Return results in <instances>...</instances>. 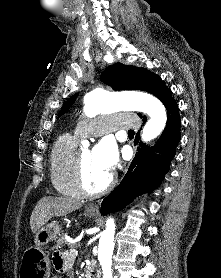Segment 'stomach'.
I'll return each mask as SVG.
<instances>
[{"label": "stomach", "instance_id": "1", "mask_svg": "<svg viewBox=\"0 0 221 278\" xmlns=\"http://www.w3.org/2000/svg\"><path fill=\"white\" fill-rule=\"evenodd\" d=\"M86 217H94L97 212L87 208L84 212ZM61 227L56 222H51L41 227L35 235V247L25 251L24 261L20 265L18 274L20 278H50L52 267L46 264L47 257L42 254L41 247L57 239L60 235Z\"/></svg>", "mask_w": 221, "mask_h": 278}]
</instances>
